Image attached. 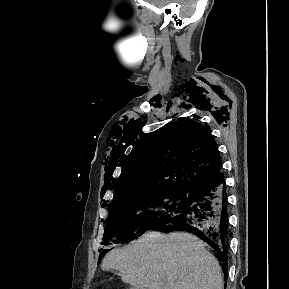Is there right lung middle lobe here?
Wrapping results in <instances>:
<instances>
[{
  "label": "right lung middle lobe",
  "mask_w": 289,
  "mask_h": 289,
  "mask_svg": "<svg viewBox=\"0 0 289 289\" xmlns=\"http://www.w3.org/2000/svg\"><path fill=\"white\" fill-rule=\"evenodd\" d=\"M191 199L186 189L162 190L128 198L109 207L104 242L131 241L182 213Z\"/></svg>",
  "instance_id": "1"
}]
</instances>
